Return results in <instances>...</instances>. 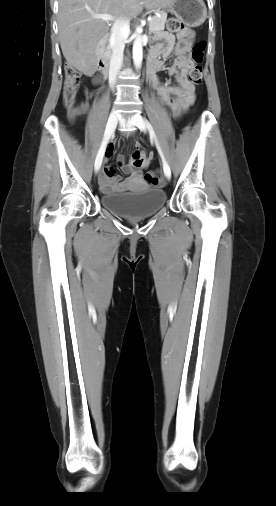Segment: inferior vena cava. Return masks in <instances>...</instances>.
Here are the masks:
<instances>
[{"instance_id": "1", "label": "inferior vena cava", "mask_w": 276, "mask_h": 506, "mask_svg": "<svg viewBox=\"0 0 276 506\" xmlns=\"http://www.w3.org/2000/svg\"><path fill=\"white\" fill-rule=\"evenodd\" d=\"M129 31V20L120 18L111 29L110 44L112 55L110 59L109 81L113 87L116 77L121 70L123 62V51L125 47V38Z\"/></svg>"}]
</instances>
